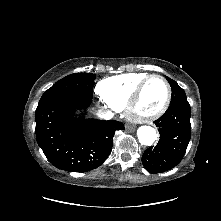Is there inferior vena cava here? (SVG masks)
Segmentation results:
<instances>
[{
	"label": "inferior vena cava",
	"instance_id": "obj_1",
	"mask_svg": "<svg viewBox=\"0 0 221 221\" xmlns=\"http://www.w3.org/2000/svg\"><path fill=\"white\" fill-rule=\"evenodd\" d=\"M97 116L99 118H102V119H111L113 117V113L112 112H106L104 110H99L98 113H97Z\"/></svg>",
	"mask_w": 221,
	"mask_h": 221
}]
</instances>
